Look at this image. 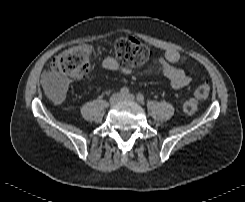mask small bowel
Listing matches in <instances>:
<instances>
[{
    "label": "small bowel",
    "instance_id": "c3829d8e",
    "mask_svg": "<svg viewBox=\"0 0 245 202\" xmlns=\"http://www.w3.org/2000/svg\"><path fill=\"white\" fill-rule=\"evenodd\" d=\"M180 54L175 49H168L164 55H157L153 63L143 69H131L120 65L118 60L108 55L102 60V66L106 70L119 72L127 77H143L155 72L162 73L174 89H181L190 83V77L175 64L179 61ZM46 86H52L54 90L61 93L65 89V84L54 73L46 71L42 76Z\"/></svg>",
    "mask_w": 245,
    "mask_h": 202
}]
</instances>
